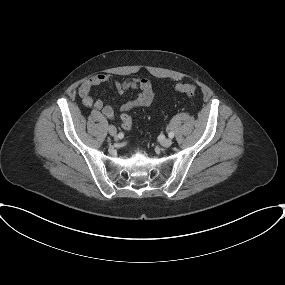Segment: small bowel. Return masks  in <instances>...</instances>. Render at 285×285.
Segmentation results:
<instances>
[{
    "label": "small bowel",
    "instance_id": "obj_1",
    "mask_svg": "<svg viewBox=\"0 0 285 285\" xmlns=\"http://www.w3.org/2000/svg\"><path fill=\"white\" fill-rule=\"evenodd\" d=\"M111 81L110 77L105 74H97L85 80L78 89V94L81 98L82 104L88 108H94L100 111L106 118L115 119L117 117L116 110L106 105L100 99H94L91 96V90L94 87L107 84ZM115 89L123 94L129 90H138L139 94L131 101L126 102L120 108L121 113L128 112L134 108L150 107L155 98V90L152 82L147 78L131 77L123 81H113Z\"/></svg>",
    "mask_w": 285,
    "mask_h": 285
}]
</instances>
